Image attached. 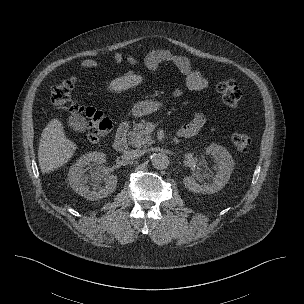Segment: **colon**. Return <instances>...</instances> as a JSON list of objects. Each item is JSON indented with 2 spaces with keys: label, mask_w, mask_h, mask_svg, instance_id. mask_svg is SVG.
<instances>
[{
  "label": "colon",
  "mask_w": 304,
  "mask_h": 304,
  "mask_svg": "<svg viewBox=\"0 0 304 304\" xmlns=\"http://www.w3.org/2000/svg\"><path fill=\"white\" fill-rule=\"evenodd\" d=\"M75 78L69 77L59 80L51 90V102L60 111L71 114H81L87 123L85 138L92 141L101 140L112 128L111 120L101 111L93 107H83L72 100V90ZM216 89L225 106L235 109L241 102V91L231 78L220 80L216 83ZM232 143L239 152H247L252 144L251 138L244 133H234Z\"/></svg>",
  "instance_id": "5ec220e1"
}]
</instances>
